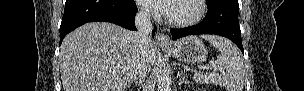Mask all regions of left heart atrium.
Wrapping results in <instances>:
<instances>
[{"label": "left heart atrium", "instance_id": "left-heart-atrium-1", "mask_svg": "<svg viewBox=\"0 0 304 91\" xmlns=\"http://www.w3.org/2000/svg\"><path fill=\"white\" fill-rule=\"evenodd\" d=\"M171 0H143L142 4L153 11L168 14Z\"/></svg>", "mask_w": 304, "mask_h": 91}]
</instances>
